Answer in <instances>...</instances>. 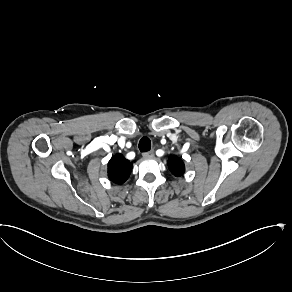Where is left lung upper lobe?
Returning <instances> with one entry per match:
<instances>
[{"instance_id": "5c2ea615", "label": "left lung upper lobe", "mask_w": 292, "mask_h": 292, "mask_svg": "<svg viewBox=\"0 0 292 292\" xmlns=\"http://www.w3.org/2000/svg\"><path fill=\"white\" fill-rule=\"evenodd\" d=\"M170 172L177 177H180L185 172V165L181 158L176 155H171L167 162Z\"/></svg>"}]
</instances>
